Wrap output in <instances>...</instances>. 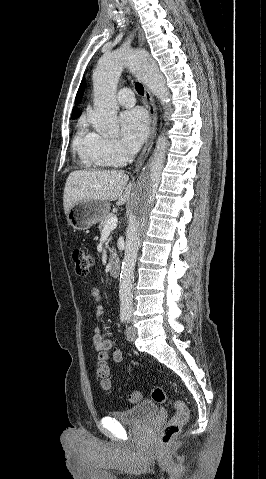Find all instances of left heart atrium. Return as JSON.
Wrapping results in <instances>:
<instances>
[{
  "label": "left heart atrium",
  "mask_w": 266,
  "mask_h": 479,
  "mask_svg": "<svg viewBox=\"0 0 266 479\" xmlns=\"http://www.w3.org/2000/svg\"><path fill=\"white\" fill-rule=\"evenodd\" d=\"M121 136L125 145L131 151H136L149 131V120L141 108H133L120 116Z\"/></svg>",
  "instance_id": "obj_1"
}]
</instances>
